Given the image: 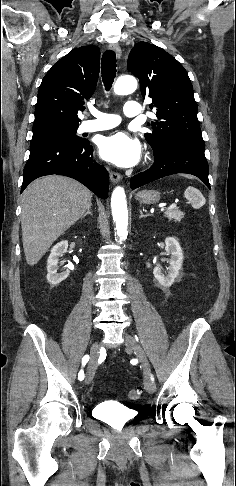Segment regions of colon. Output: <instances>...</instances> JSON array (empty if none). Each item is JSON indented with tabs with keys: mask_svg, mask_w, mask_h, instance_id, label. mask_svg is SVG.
Returning <instances> with one entry per match:
<instances>
[{
	"mask_svg": "<svg viewBox=\"0 0 236 486\" xmlns=\"http://www.w3.org/2000/svg\"><path fill=\"white\" fill-rule=\"evenodd\" d=\"M142 394V390L141 388H133L129 391L128 393V397L131 399V400H137L140 398Z\"/></svg>",
	"mask_w": 236,
	"mask_h": 486,
	"instance_id": "1",
	"label": "colon"
}]
</instances>
